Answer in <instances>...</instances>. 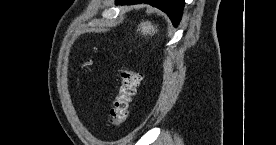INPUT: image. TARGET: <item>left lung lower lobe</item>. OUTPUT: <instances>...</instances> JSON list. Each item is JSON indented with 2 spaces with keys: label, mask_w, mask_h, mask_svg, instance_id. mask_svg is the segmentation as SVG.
Returning <instances> with one entry per match:
<instances>
[{
  "label": "left lung lower lobe",
  "mask_w": 276,
  "mask_h": 145,
  "mask_svg": "<svg viewBox=\"0 0 276 145\" xmlns=\"http://www.w3.org/2000/svg\"><path fill=\"white\" fill-rule=\"evenodd\" d=\"M117 5L148 3L164 11L171 19L174 26H177L182 17L185 4L184 0H115Z\"/></svg>",
  "instance_id": "obj_1"
}]
</instances>
